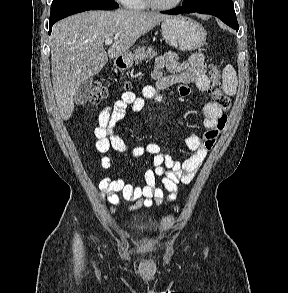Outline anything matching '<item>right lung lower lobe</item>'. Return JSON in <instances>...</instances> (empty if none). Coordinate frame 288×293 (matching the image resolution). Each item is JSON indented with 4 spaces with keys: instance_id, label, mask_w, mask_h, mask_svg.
<instances>
[{
    "instance_id": "obj_1",
    "label": "right lung lower lobe",
    "mask_w": 288,
    "mask_h": 293,
    "mask_svg": "<svg viewBox=\"0 0 288 293\" xmlns=\"http://www.w3.org/2000/svg\"><path fill=\"white\" fill-rule=\"evenodd\" d=\"M86 10H97V8H83V9H79V10L67 13V14H65V15H63L61 17L56 18V19L49 20V34H51L53 24L55 22H57L58 20L63 19L65 17L69 16V15L76 14V13H79V12H83V11H86Z\"/></svg>"
}]
</instances>
